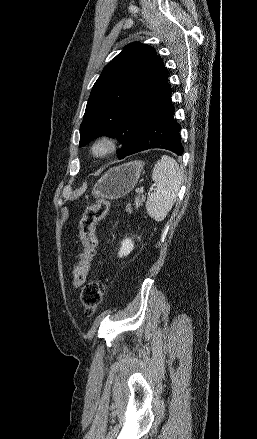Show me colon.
<instances>
[{
  "label": "colon",
  "instance_id": "1",
  "mask_svg": "<svg viewBox=\"0 0 257 439\" xmlns=\"http://www.w3.org/2000/svg\"><path fill=\"white\" fill-rule=\"evenodd\" d=\"M111 205L107 198H99L94 204L87 207L80 220V238L82 250L78 263L72 273L74 286H81L86 279L89 264L97 246L96 226L106 216ZM104 296V284L99 280L86 283L81 291V301L87 315L93 314L101 305Z\"/></svg>",
  "mask_w": 257,
  "mask_h": 439
}]
</instances>
